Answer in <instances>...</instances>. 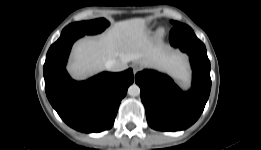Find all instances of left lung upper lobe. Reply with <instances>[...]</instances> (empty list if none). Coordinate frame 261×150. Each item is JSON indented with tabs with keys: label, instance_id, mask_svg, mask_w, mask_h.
I'll use <instances>...</instances> for the list:
<instances>
[{
	"label": "left lung upper lobe",
	"instance_id": "left-lung-upper-lobe-1",
	"mask_svg": "<svg viewBox=\"0 0 261 150\" xmlns=\"http://www.w3.org/2000/svg\"><path fill=\"white\" fill-rule=\"evenodd\" d=\"M172 24L173 25H178V24H180L179 22H176V21H172Z\"/></svg>",
	"mask_w": 261,
	"mask_h": 150
}]
</instances>
